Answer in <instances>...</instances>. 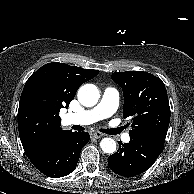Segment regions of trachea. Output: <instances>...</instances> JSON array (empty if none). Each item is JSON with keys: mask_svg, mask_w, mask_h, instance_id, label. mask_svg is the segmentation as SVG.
<instances>
[{"mask_svg": "<svg viewBox=\"0 0 194 194\" xmlns=\"http://www.w3.org/2000/svg\"><path fill=\"white\" fill-rule=\"evenodd\" d=\"M75 130H79L82 131L84 130V128L82 126H76ZM102 132L106 133V134H110V135H114L117 134L120 131V128L117 129H101Z\"/></svg>", "mask_w": 194, "mask_h": 194, "instance_id": "3493384b", "label": "trachea"}]
</instances>
